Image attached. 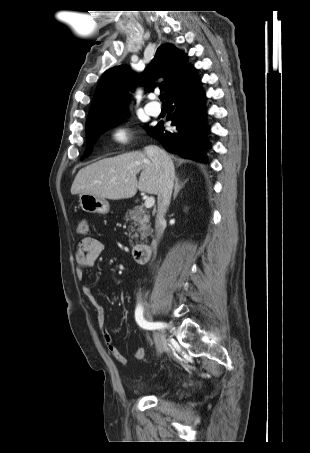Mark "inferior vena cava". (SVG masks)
<instances>
[{
	"label": "inferior vena cava",
	"instance_id": "1",
	"mask_svg": "<svg viewBox=\"0 0 310 453\" xmlns=\"http://www.w3.org/2000/svg\"><path fill=\"white\" fill-rule=\"evenodd\" d=\"M145 153L153 164L160 170V188L158 192V207L155 221L156 238L153 245H156L164 231L165 214L170 204L172 189L175 179L174 165L167 153L157 146L145 147Z\"/></svg>",
	"mask_w": 310,
	"mask_h": 453
}]
</instances>
